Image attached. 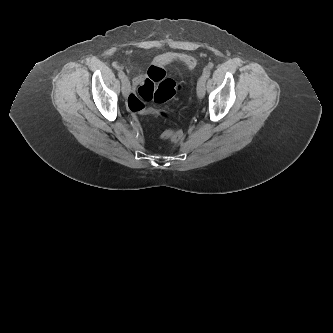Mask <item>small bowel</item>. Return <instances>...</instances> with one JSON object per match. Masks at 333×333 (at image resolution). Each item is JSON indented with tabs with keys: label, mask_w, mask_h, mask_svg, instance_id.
<instances>
[{
	"label": "small bowel",
	"mask_w": 333,
	"mask_h": 333,
	"mask_svg": "<svg viewBox=\"0 0 333 333\" xmlns=\"http://www.w3.org/2000/svg\"><path fill=\"white\" fill-rule=\"evenodd\" d=\"M172 62H182L189 67H194L196 65V60L192 56L177 52H166L158 55L154 59V64H150L146 68V77H136L134 79V84L136 86L143 85L147 79L155 81L157 84H164L168 80V72L162 67ZM156 83H154V85Z\"/></svg>",
	"instance_id": "1"
}]
</instances>
